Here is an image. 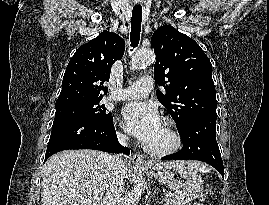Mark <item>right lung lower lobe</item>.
Wrapping results in <instances>:
<instances>
[{
    "instance_id": "obj_1",
    "label": "right lung lower lobe",
    "mask_w": 269,
    "mask_h": 205,
    "mask_svg": "<svg viewBox=\"0 0 269 205\" xmlns=\"http://www.w3.org/2000/svg\"><path fill=\"white\" fill-rule=\"evenodd\" d=\"M68 149H95L111 153L123 151L126 155L130 154L129 148L118 143L113 120L99 122L82 117L54 119L45 160L56 152Z\"/></svg>"
}]
</instances>
